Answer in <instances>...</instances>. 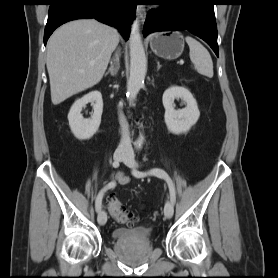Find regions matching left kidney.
Listing matches in <instances>:
<instances>
[{"label": "left kidney", "mask_w": 278, "mask_h": 278, "mask_svg": "<svg viewBox=\"0 0 278 278\" xmlns=\"http://www.w3.org/2000/svg\"><path fill=\"white\" fill-rule=\"evenodd\" d=\"M181 99L186 107L175 110L174 100ZM163 106L165 108V123L173 134H181L190 130L199 119L200 112L197 102L190 91L184 87L171 86L163 94Z\"/></svg>", "instance_id": "1"}]
</instances>
